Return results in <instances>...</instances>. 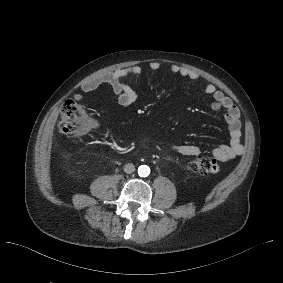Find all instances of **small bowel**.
Returning <instances> with one entry per match:
<instances>
[{"mask_svg":"<svg viewBox=\"0 0 283 283\" xmlns=\"http://www.w3.org/2000/svg\"><path fill=\"white\" fill-rule=\"evenodd\" d=\"M150 69L155 71L160 68L158 62H151ZM169 70L173 74L180 75L191 81H198L200 76L195 71L184 68L177 64H171ZM142 72L139 66H129L118 69L113 72L98 75L87 81L81 89V92L75 95L76 101H81L86 94L91 93L103 84L109 85L117 99L118 104L123 108L132 106L137 100L136 92L126 83L125 79L128 76H137ZM204 92L210 97L209 106L211 109L224 111V120L227 124L230 141L228 144L218 145L211 149L210 153L220 161L232 160L244 152V146L241 138V121L240 110L233 102V100L218 90L212 82H207L204 87ZM172 152L184 156H197L202 150L200 147L191 144H170L168 146Z\"/></svg>","mask_w":283,"mask_h":283,"instance_id":"c3829d8e","label":"small bowel"}]
</instances>
